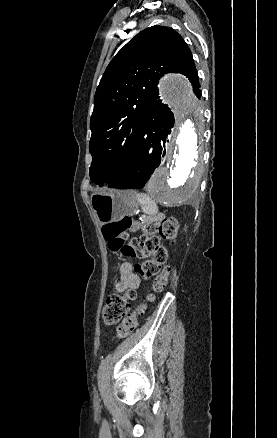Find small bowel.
I'll return each mask as SVG.
<instances>
[{"label":"small bowel","mask_w":277,"mask_h":438,"mask_svg":"<svg viewBox=\"0 0 277 438\" xmlns=\"http://www.w3.org/2000/svg\"><path fill=\"white\" fill-rule=\"evenodd\" d=\"M140 286L139 277L133 272V267L130 262H124L120 266V280L116 284L118 291L126 289H137Z\"/></svg>","instance_id":"1"}]
</instances>
